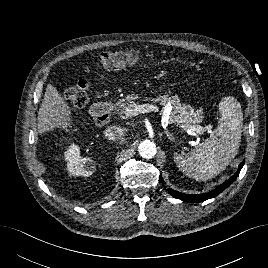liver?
<instances>
[{
  "mask_svg": "<svg viewBox=\"0 0 268 268\" xmlns=\"http://www.w3.org/2000/svg\"><path fill=\"white\" fill-rule=\"evenodd\" d=\"M38 133L61 128L69 131L67 127H71V112L69 104L65 98L57 91V89L48 84L44 98L38 112Z\"/></svg>",
  "mask_w": 268,
  "mask_h": 268,
  "instance_id": "1",
  "label": "liver"
}]
</instances>
